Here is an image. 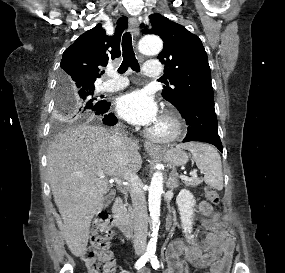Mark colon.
<instances>
[{"mask_svg":"<svg viewBox=\"0 0 285 273\" xmlns=\"http://www.w3.org/2000/svg\"><path fill=\"white\" fill-rule=\"evenodd\" d=\"M206 198L218 205L219 193L215 188H206ZM110 220L108 218L98 219L92 229L90 245L83 253L82 259L88 273H113L115 268L114 258L109 251L110 241L113 238Z\"/></svg>","mask_w":285,"mask_h":273,"instance_id":"obj_1","label":"colon"}]
</instances>
